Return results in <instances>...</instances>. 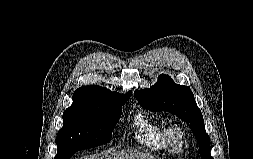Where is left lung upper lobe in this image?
Here are the masks:
<instances>
[{
	"instance_id": "left-lung-upper-lobe-1",
	"label": "left lung upper lobe",
	"mask_w": 253,
	"mask_h": 159,
	"mask_svg": "<svg viewBox=\"0 0 253 159\" xmlns=\"http://www.w3.org/2000/svg\"><path fill=\"white\" fill-rule=\"evenodd\" d=\"M134 95L143 108L153 112L169 111L189 123L199 142L201 159H213L203 116L189 87L174 83L167 75H160L158 82L150 89L136 90Z\"/></svg>"
}]
</instances>
